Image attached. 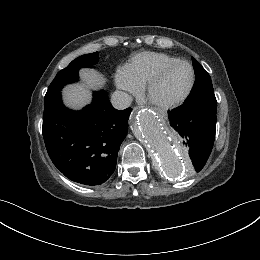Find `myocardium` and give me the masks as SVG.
<instances>
[{
    "label": "myocardium",
    "instance_id": "f54148a6",
    "mask_svg": "<svg viewBox=\"0 0 260 260\" xmlns=\"http://www.w3.org/2000/svg\"><path fill=\"white\" fill-rule=\"evenodd\" d=\"M181 64H185V65L189 66V68L191 69V73H192L191 82H190L187 90L177 99H174L171 101H155L152 98V92H153L154 88L163 80V78L167 75V73L170 70H172L173 68H175L176 66L181 65ZM147 83L148 84H147L146 94H147V98L149 99V101L159 108L170 109V108H174V107L181 105L189 97V95L191 94V92L195 86V83H196V72H195L193 65L190 62H188L186 60H178V61L172 62L170 64H167L164 67H162L161 69H159Z\"/></svg>",
    "mask_w": 260,
    "mask_h": 260
}]
</instances>
